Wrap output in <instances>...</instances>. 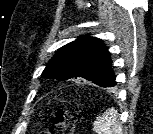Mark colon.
I'll return each instance as SVG.
<instances>
[{
  "label": "colon",
  "instance_id": "obj_1",
  "mask_svg": "<svg viewBox=\"0 0 153 134\" xmlns=\"http://www.w3.org/2000/svg\"><path fill=\"white\" fill-rule=\"evenodd\" d=\"M73 122L68 111L58 109L51 119L49 128L40 134H73Z\"/></svg>",
  "mask_w": 153,
  "mask_h": 134
}]
</instances>
